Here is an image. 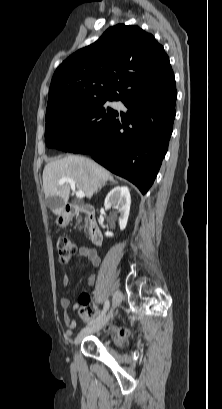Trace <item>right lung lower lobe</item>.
<instances>
[{
	"instance_id": "98d812e1",
	"label": "right lung lower lobe",
	"mask_w": 222,
	"mask_h": 409,
	"mask_svg": "<svg viewBox=\"0 0 222 409\" xmlns=\"http://www.w3.org/2000/svg\"><path fill=\"white\" fill-rule=\"evenodd\" d=\"M162 78L165 89L122 101L127 112H116L104 141L83 152L131 181L142 194L155 180L168 149L176 115L174 74H165Z\"/></svg>"
}]
</instances>
